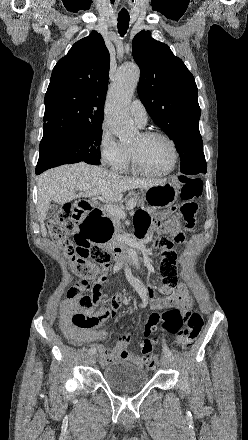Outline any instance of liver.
<instances>
[{"label":"liver","instance_id":"liver-1","mask_svg":"<svg viewBox=\"0 0 248 440\" xmlns=\"http://www.w3.org/2000/svg\"><path fill=\"white\" fill-rule=\"evenodd\" d=\"M163 180H145L123 177L112 173L102 167L93 166L84 162L62 165L45 171L38 177L37 214L41 226L42 236L47 235L44 220L53 201L65 204L79 197L77 190L88 186L82 196H101L109 202H119L123 193L136 188L147 189L157 185Z\"/></svg>","mask_w":248,"mask_h":440}]
</instances>
